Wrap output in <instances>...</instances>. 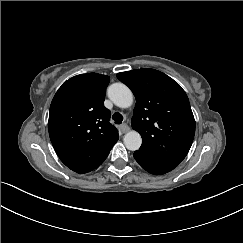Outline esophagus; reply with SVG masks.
Instances as JSON below:
<instances>
[{
	"label": "esophagus",
	"instance_id": "1",
	"mask_svg": "<svg viewBox=\"0 0 243 243\" xmlns=\"http://www.w3.org/2000/svg\"><path fill=\"white\" fill-rule=\"evenodd\" d=\"M120 129L122 133H126L127 131H129L130 128L126 123H124L120 126Z\"/></svg>",
	"mask_w": 243,
	"mask_h": 243
}]
</instances>
